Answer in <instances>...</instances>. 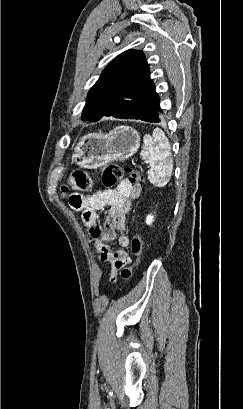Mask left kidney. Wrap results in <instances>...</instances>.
I'll return each instance as SVG.
<instances>
[{"instance_id":"1","label":"left kidney","mask_w":243,"mask_h":409,"mask_svg":"<svg viewBox=\"0 0 243 409\" xmlns=\"http://www.w3.org/2000/svg\"><path fill=\"white\" fill-rule=\"evenodd\" d=\"M152 222H153V216L148 215L147 218H146V223H147L148 225H150Z\"/></svg>"}]
</instances>
